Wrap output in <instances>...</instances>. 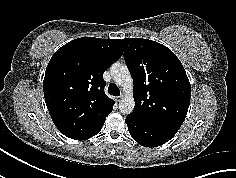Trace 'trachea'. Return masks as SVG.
Wrapping results in <instances>:
<instances>
[{
  "instance_id": "1",
  "label": "trachea",
  "mask_w": 236,
  "mask_h": 178,
  "mask_svg": "<svg viewBox=\"0 0 236 178\" xmlns=\"http://www.w3.org/2000/svg\"><path fill=\"white\" fill-rule=\"evenodd\" d=\"M108 93L113 95V96H119L120 95L119 88L115 84H110L109 85Z\"/></svg>"
}]
</instances>
